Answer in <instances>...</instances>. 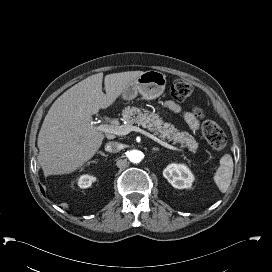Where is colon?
Returning a JSON list of instances; mask_svg holds the SVG:
<instances>
[{"mask_svg": "<svg viewBox=\"0 0 272 272\" xmlns=\"http://www.w3.org/2000/svg\"><path fill=\"white\" fill-rule=\"evenodd\" d=\"M192 93V86L184 80H177L171 86V95L177 100L187 99ZM194 113L202 119L201 132L210 147L219 152L226 146V137L222 129L212 120L205 119L201 107H195Z\"/></svg>", "mask_w": 272, "mask_h": 272, "instance_id": "5ec220e1", "label": "colon"}]
</instances>
